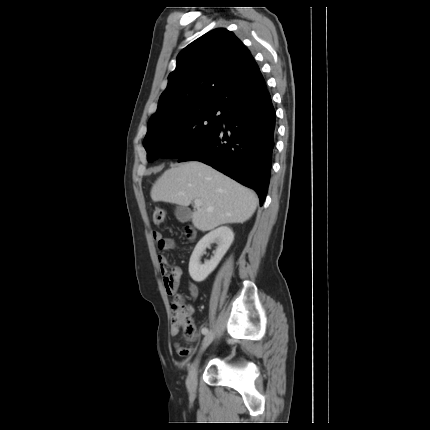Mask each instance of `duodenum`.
I'll use <instances>...</instances> for the list:
<instances>
[{"label":"duodenum","instance_id":"410a0bca","mask_svg":"<svg viewBox=\"0 0 430 430\" xmlns=\"http://www.w3.org/2000/svg\"><path fill=\"white\" fill-rule=\"evenodd\" d=\"M186 233H187L188 236H192L193 235V231H192L191 228H187L186 229Z\"/></svg>","mask_w":430,"mask_h":430}]
</instances>
